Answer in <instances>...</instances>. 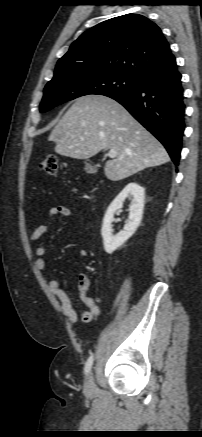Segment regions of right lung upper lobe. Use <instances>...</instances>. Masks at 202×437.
<instances>
[{"label": "right lung upper lobe", "instance_id": "1", "mask_svg": "<svg viewBox=\"0 0 202 437\" xmlns=\"http://www.w3.org/2000/svg\"><path fill=\"white\" fill-rule=\"evenodd\" d=\"M174 59L155 23L126 14L84 32L57 62L53 79L70 73H121L140 79Z\"/></svg>", "mask_w": 202, "mask_h": 437}]
</instances>
